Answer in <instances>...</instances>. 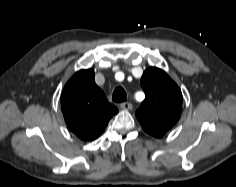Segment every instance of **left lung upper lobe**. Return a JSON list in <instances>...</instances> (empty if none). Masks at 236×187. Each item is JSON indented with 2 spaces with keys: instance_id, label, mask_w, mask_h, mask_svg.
<instances>
[{
  "instance_id": "1",
  "label": "left lung upper lobe",
  "mask_w": 236,
  "mask_h": 187,
  "mask_svg": "<svg viewBox=\"0 0 236 187\" xmlns=\"http://www.w3.org/2000/svg\"><path fill=\"white\" fill-rule=\"evenodd\" d=\"M145 100L136 111L143 129L160 138L179 120L182 93L176 83L161 69L151 67L141 77Z\"/></svg>"
}]
</instances>
